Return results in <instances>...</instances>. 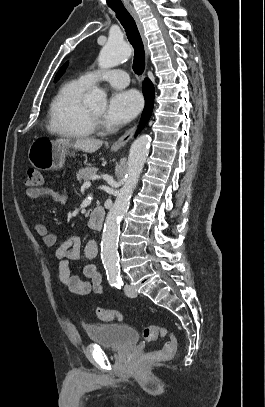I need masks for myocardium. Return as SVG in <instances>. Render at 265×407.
Here are the masks:
<instances>
[{"label": "myocardium", "mask_w": 265, "mask_h": 407, "mask_svg": "<svg viewBox=\"0 0 265 407\" xmlns=\"http://www.w3.org/2000/svg\"><path fill=\"white\" fill-rule=\"evenodd\" d=\"M87 115L90 121V125L94 131H103L106 129L105 123L101 116L95 114L93 111L87 108Z\"/></svg>", "instance_id": "f54148a6"}]
</instances>
